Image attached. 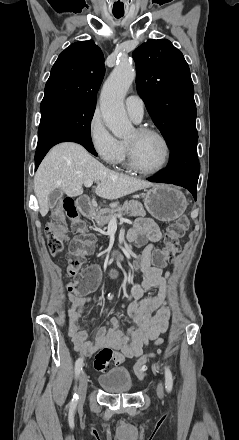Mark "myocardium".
<instances>
[{"instance_id":"myocardium-1","label":"myocardium","mask_w":239,"mask_h":440,"mask_svg":"<svg viewBox=\"0 0 239 440\" xmlns=\"http://www.w3.org/2000/svg\"><path fill=\"white\" fill-rule=\"evenodd\" d=\"M136 130L140 134H153L161 139V141L163 142V144L165 146V160L159 168H157L155 170H146L139 165L133 147L126 141L127 157H128V162H129L130 167L134 171H136L140 174H143V175L160 174L168 167L170 160H171L172 147H171V143H170L169 139L166 137V135L163 132H161L160 130H158L157 128H154V127L140 126Z\"/></svg>"}]
</instances>
